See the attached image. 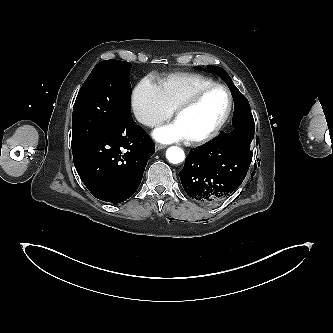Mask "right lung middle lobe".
<instances>
[{
	"label": "right lung middle lobe",
	"mask_w": 333,
	"mask_h": 333,
	"mask_svg": "<svg viewBox=\"0 0 333 333\" xmlns=\"http://www.w3.org/2000/svg\"><path fill=\"white\" fill-rule=\"evenodd\" d=\"M129 62L98 63L83 83L73 107L72 150L79 148L131 115Z\"/></svg>",
	"instance_id": "obj_1"
}]
</instances>
